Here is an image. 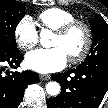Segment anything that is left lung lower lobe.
I'll use <instances>...</instances> for the list:
<instances>
[{
	"label": "left lung lower lobe",
	"mask_w": 108,
	"mask_h": 108,
	"mask_svg": "<svg viewBox=\"0 0 108 108\" xmlns=\"http://www.w3.org/2000/svg\"><path fill=\"white\" fill-rule=\"evenodd\" d=\"M51 78L61 85V93L48 99V108H98L108 91V63L79 65L68 72L53 74ZM73 90L77 95L69 100L67 94Z\"/></svg>",
	"instance_id": "0a47b994"
}]
</instances>
